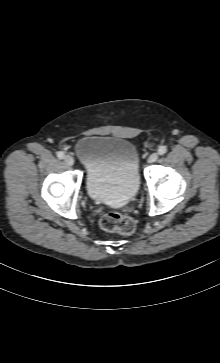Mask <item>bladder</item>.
Masks as SVG:
<instances>
[{"label":"bladder","mask_w":220,"mask_h":363,"mask_svg":"<svg viewBox=\"0 0 220 363\" xmlns=\"http://www.w3.org/2000/svg\"><path fill=\"white\" fill-rule=\"evenodd\" d=\"M75 156L86 174L89 197L122 206L138 193L140 159L136 146L115 136H87L77 141Z\"/></svg>","instance_id":"obj_1"}]
</instances>
